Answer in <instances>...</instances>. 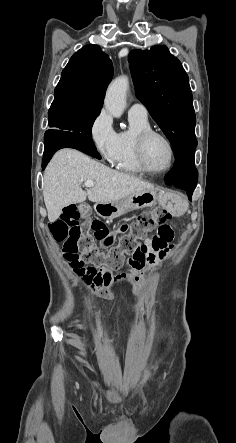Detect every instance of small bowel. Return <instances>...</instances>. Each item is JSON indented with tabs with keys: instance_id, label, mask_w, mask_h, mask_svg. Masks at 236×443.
I'll list each match as a JSON object with an SVG mask.
<instances>
[{
	"instance_id": "c3829d8e",
	"label": "small bowel",
	"mask_w": 236,
	"mask_h": 443,
	"mask_svg": "<svg viewBox=\"0 0 236 443\" xmlns=\"http://www.w3.org/2000/svg\"><path fill=\"white\" fill-rule=\"evenodd\" d=\"M102 245H106V243H103ZM140 247H146L148 249L149 257L144 261V264L145 266L149 265L150 267H154L161 263L169 250L168 241L163 239L159 233L155 234L152 238L146 239L145 243L140 245ZM129 261H131V258L127 262L128 266ZM68 266L73 271V273L80 278L82 284L87 291L96 292L104 297H110L114 294L111 288L112 284L124 280L128 281L131 284V292L133 294L134 300H138L144 291V280L142 278L141 272L142 269L135 271L133 277L130 279L124 277V275L122 274L115 278L112 277V279L108 283H102L98 281L97 276L100 272H103L104 269L97 272V270L91 267L78 269L73 268L69 263Z\"/></svg>"
}]
</instances>
